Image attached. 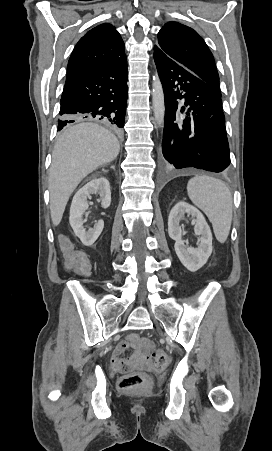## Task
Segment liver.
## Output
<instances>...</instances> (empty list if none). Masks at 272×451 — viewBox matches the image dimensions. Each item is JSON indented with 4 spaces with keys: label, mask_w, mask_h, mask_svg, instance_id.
Listing matches in <instances>:
<instances>
[{
    "label": "liver",
    "mask_w": 272,
    "mask_h": 451,
    "mask_svg": "<svg viewBox=\"0 0 272 451\" xmlns=\"http://www.w3.org/2000/svg\"><path fill=\"white\" fill-rule=\"evenodd\" d=\"M59 136L52 152L49 174L50 214L53 226L62 220L66 204L75 188L96 170L110 164L120 152L119 142L106 128L77 118Z\"/></svg>",
    "instance_id": "1"
}]
</instances>
